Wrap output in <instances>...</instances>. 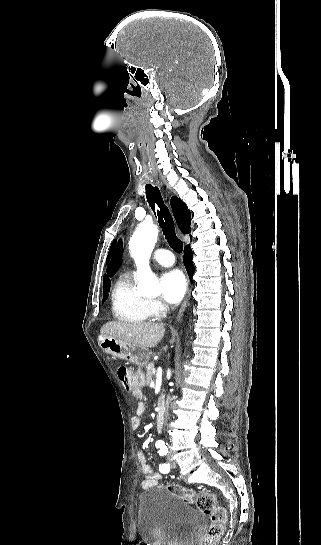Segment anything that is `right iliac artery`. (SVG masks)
I'll return each mask as SVG.
<instances>
[{"mask_svg":"<svg viewBox=\"0 0 321 545\" xmlns=\"http://www.w3.org/2000/svg\"><path fill=\"white\" fill-rule=\"evenodd\" d=\"M161 447V444L160 443H156V448H159Z\"/></svg>","mask_w":321,"mask_h":545,"instance_id":"1","label":"right iliac artery"}]
</instances>
